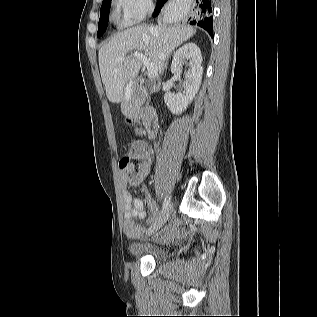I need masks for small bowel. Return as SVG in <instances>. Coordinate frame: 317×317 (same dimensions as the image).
<instances>
[{"mask_svg": "<svg viewBox=\"0 0 317 317\" xmlns=\"http://www.w3.org/2000/svg\"><path fill=\"white\" fill-rule=\"evenodd\" d=\"M135 148L139 155L145 160L147 172L150 168V158H149V148L144 143H137ZM141 179L136 182H131L126 174L122 176V184L125 186L128 183L130 184H138L140 183ZM144 194L146 198L147 205L155 215L158 212V206L155 201L149 196L148 192L144 189ZM123 200H124V215H125V222H124V230L125 233L129 237H136L140 234L142 228L136 223L135 219H143L145 217L144 212V205L143 201L139 198H132L131 194L123 190ZM184 230H181L177 223H172L167 225L160 233L162 238H171L177 234L183 233Z\"/></svg>", "mask_w": 317, "mask_h": 317, "instance_id": "small-bowel-1", "label": "small bowel"}]
</instances>
